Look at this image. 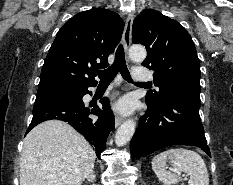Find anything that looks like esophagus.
<instances>
[{"mask_svg": "<svg viewBox=\"0 0 233 185\" xmlns=\"http://www.w3.org/2000/svg\"><path fill=\"white\" fill-rule=\"evenodd\" d=\"M133 21H134V14L129 13L126 19L125 29L123 34V46L125 52L128 51L131 44V32H132ZM123 121L124 119L122 117L117 116L115 119V126L118 127Z\"/></svg>", "mask_w": 233, "mask_h": 185, "instance_id": "34e87169", "label": "esophagus"}]
</instances>
